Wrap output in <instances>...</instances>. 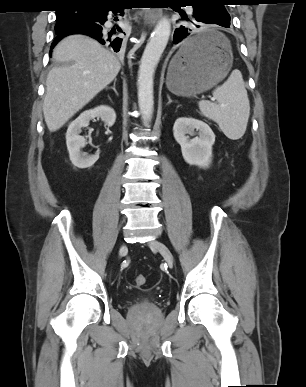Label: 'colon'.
<instances>
[{"label":"colon","instance_id":"5ec220e1","mask_svg":"<svg viewBox=\"0 0 306 387\" xmlns=\"http://www.w3.org/2000/svg\"><path fill=\"white\" fill-rule=\"evenodd\" d=\"M146 282V278L144 275L139 274L134 277V283L137 287H142Z\"/></svg>","mask_w":306,"mask_h":387}]
</instances>
